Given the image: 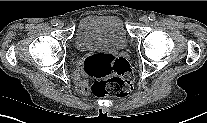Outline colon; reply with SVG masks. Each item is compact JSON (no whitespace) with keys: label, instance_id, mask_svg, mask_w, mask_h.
<instances>
[{"label":"colon","instance_id":"colon-1","mask_svg":"<svg viewBox=\"0 0 207 123\" xmlns=\"http://www.w3.org/2000/svg\"><path fill=\"white\" fill-rule=\"evenodd\" d=\"M84 70L94 80L92 92L98 97L125 96L132 90L133 71L124 58L93 55L86 59Z\"/></svg>","mask_w":207,"mask_h":123}]
</instances>
